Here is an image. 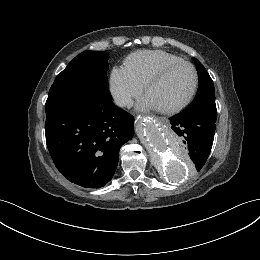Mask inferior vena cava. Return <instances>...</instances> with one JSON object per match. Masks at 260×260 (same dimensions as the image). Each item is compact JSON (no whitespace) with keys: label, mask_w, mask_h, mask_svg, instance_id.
Here are the masks:
<instances>
[{"label":"inferior vena cava","mask_w":260,"mask_h":260,"mask_svg":"<svg viewBox=\"0 0 260 260\" xmlns=\"http://www.w3.org/2000/svg\"><path fill=\"white\" fill-rule=\"evenodd\" d=\"M113 99L118 107L131 106L133 104V100L125 94H116Z\"/></svg>","instance_id":"602c4592"}]
</instances>
